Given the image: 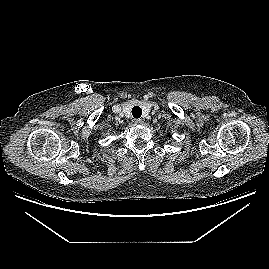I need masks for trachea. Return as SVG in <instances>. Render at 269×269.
Instances as JSON below:
<instances>
[{"label":"trachea","instance_id":"obj_1","mask_svg":"<svg viewBox=\"0 0 269 269\" xmlns=\"http://www.w3.org/2000/svg\"><path fill=\"white\" fill-rule=\"evenodd\" d=\"M132 115L134 118H140L142 115V109L139 106L133 107Z\"/></svg>","mask_w":269,"mask_h":269}]
</instances>
